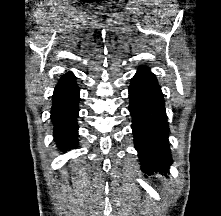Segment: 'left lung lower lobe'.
<instances>
[{"instance_id":"0a47b994","label":"left lung lower lobe","mask_w":221,"mask_h":216,"mask_svg":"<svg viewBox=\"0 0 221 216\" xmlns=\"http://www.w3.org/2000/svg\"><path fill=\"white\" fill-rule=\"evenodd\" d=\"M134 145L143 172L168 170L172 157L165 102L155 75L141 66L129 87Z\"/></svg>"}]
</instances>
